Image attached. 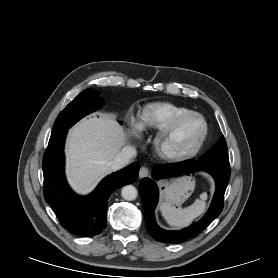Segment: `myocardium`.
<instances>
[{
	"instance_id": "myocardium-1",
	"label": "myocardium",
	"mask_w": 278,
	"mask_h": 278,
	"mask_svg": "<svg viewBox=\"0 0 278 278\" xmlns=\"http://www.w3.org/2000/svg\"><path fill=\"white\" fill-rule=\"evenodd\" d=\"M190 118L201 120L203 130L197 141L189 148L177 149L173 145V138L180 127ZM208 123L205 117L198 112H188L178 117L170 126L162 130L155 139V150L158 155L167 161H184L194 157L203 147L208 136Z\"/></svg>"
}]
</instances>
